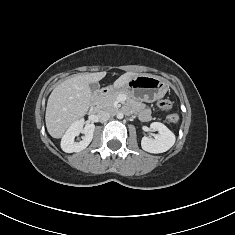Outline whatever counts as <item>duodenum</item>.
Here are the masks:
<instances>
[{"mask_svg": "<svg viewBox=\"0 0 235 235\" xmlns=\"http://www.w3.org/2000/svg\"><path fill=\"white\" fill-rule=\"evenodd\" d=\"M112 92H113V90L110 87H103V88L98 90L96 95L97 96L106 95V94H109V93H112Z\"/></svg>", "mask_w": 235, "mask_h": 235, "instance_id": "obj_1", "label": "duodenum"}]
</instances>
